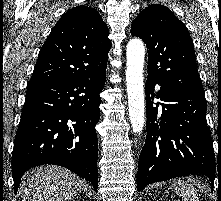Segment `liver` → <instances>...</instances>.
<instances>
[{
    "label": "liver",
    "mask_w": 221,
    "mask_h": 201,
    "mask_svg": "<svg viewBox=\"0 0 221 201\" xmlns=\"http://www.w3.org/2000/svg\"><path fill=\"white\" fill-rule=\"evenodd\" d=\"M84 186L74 173L54 165L27 171L21 182L23 201H67Z\"/></svg>",
    "instance_id": "1"
}]
</instances>
